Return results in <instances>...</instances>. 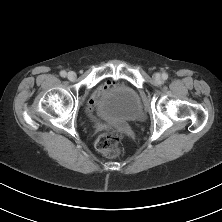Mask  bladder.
<instances>
[{
    "mask_svg": "<svg viewBox=\"0 0 222 222\" xmlns=\"http://www.w3.org/2000/svg\"><path fill=\"white\" fill-rule=\"evenodd\" d=\"M103 119L135 122L144 119V111L138 93L129 86H117L108 90L96 106Z\"/></svg>",
    "mask_w": 222,
    "mask_h": 222,
    "instance_id": "31cf9c89",
    "label": "bladder"
}]
</instances>
